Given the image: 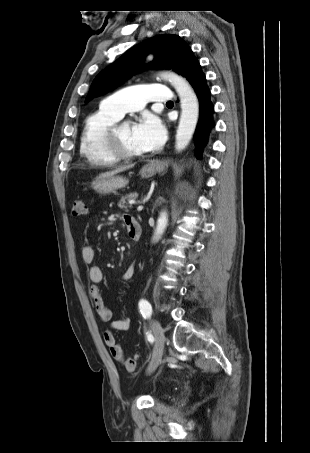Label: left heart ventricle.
<instances>
[{"label": "left heart ventricle", "instance_id": "b2bd125f", "mask_svg": "<svg viewBox=\"0 0 310 453\" xmlns=\"http://www.w3.org/2000/svg\"><path fill=\"white\" fill-rule=\"evenodd\" d=\"M133 125L125 123L119 129V137L122 142L124 149L130 153H144L145 151L137 144L133 137Z\"/></svg>", "mask_w": 310, "mask_h": 453}]
</instances>
